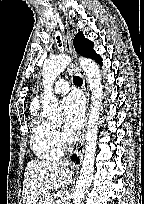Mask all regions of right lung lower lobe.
Masks as SVG:
<instances>
[{
	"mask_svg": "<svg viewBox=\"0 0 144 204\" xmlns=\"http://www.w3.org/2000/svg\"><path fill=\"white\" fill-rule=\"evenodd\" d=\"M72 160H73V161H78L76 155H73V156H72Z\"/></svg>",
	"mask_w": 144,
	"mask_h": 204,
	"instance_id": "1",
	"label": "right lung lower lobe"
}]
</instances>
